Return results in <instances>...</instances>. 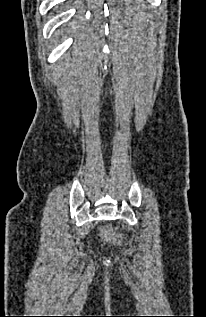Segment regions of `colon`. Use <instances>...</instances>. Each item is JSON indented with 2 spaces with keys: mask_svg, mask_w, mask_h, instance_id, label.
Returning a JSON list of instances; mask_svg holds the SVG:
<instances>
[{
  "mask_svg": "<svg viewBox=\"0 0 206 317\" xmlns=\"http://www.w3.org/2000/svg\"><path fill=\"white\" fill-rule=\"evenodd\" d=\"M105 237H106V239H108L111 242H114V243L120 242V236L111 229H107L105 231Z\"/></svg>",
  "mask_w": 206,
  "mask_h": 317,
  "instance_id": "obj_1",
  "label": "colon"
}]
</instances>
